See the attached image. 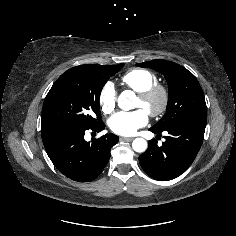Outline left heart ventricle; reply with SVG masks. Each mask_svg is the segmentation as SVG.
Returning a JSON list of instances; mask_svg holds the SVG:
<instances>
[{"label":"left heart ventricle","instance_id":"left-heart-ventricle-1","mask_svg":"<svg viewBox=\"0 0 236 236\" xmlns=\"http://www.w3.org/2000/svg\"><path fill=\"white\" fill-rule=\"evenodd\" d=\"M158 105V100H154L150 106L151 107H156ZM136 107H142L146 110V106L144 104V102L138 97V100H137V104H136Z\"/></svg>","mask_w":236,"mask_h":236}]
</instances>
